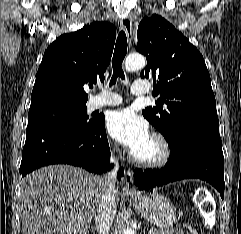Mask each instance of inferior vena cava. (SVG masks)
<instances>
[{"label": "inferior vena cava", "mask_w": 241, "mask_h": 234, "mask_svg": "<svg viewBox=\"0 0 241 234\" xmlns=\"http://www.w3.org/2000/svg\"><path fill=\"white\" fill-rule=\"evenodd\" d=\"M113 169L100 179V189L102 200L94 217L98 234H109L110 227L116 215V174L118 171V161L111 156Z\"/></svg>", "instance_id": "inferior-vena-cava-1"}]
</instances>
